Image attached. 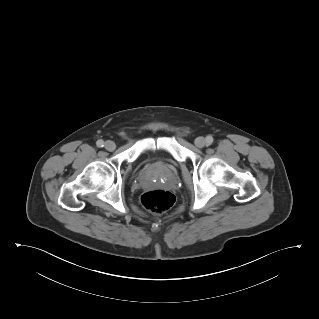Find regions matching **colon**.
<instances>
[{"mask_svg":"<svg viewBox=\"0 0 319 319\" xmlns=\"http://www.w3.org/2000/svg\"><path fill=\"white\" fill-rule=\"evenodd\" d=\"M141 203L149 212L162 214L174 205L175 196L162 189L148 190L142 194Z\"/></svg>","mask_w":319,"mask_h":319,"instance_id":"5ec220e1","label":"colon"}]
</instances>
